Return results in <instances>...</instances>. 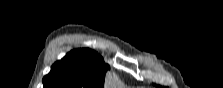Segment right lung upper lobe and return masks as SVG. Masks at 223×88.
Wrapping results in <instances>:
<instances>
[{
  "instance_id": "1",
  "label": "right lung upper lobe",
  "mask_w": 223,
  "mask_h": 88,
  "mask_svg": "<svg viewBox=\"0 0 223 88\" xmlns=\"http://www.w3.org/2000/svg\"><path fill=\"white\" fill-rule=\"evenodd\" d=\"M109 66L90 49H75L55 62L43 78L44 88H103Z\"/></svg>"
}]
</instances>
